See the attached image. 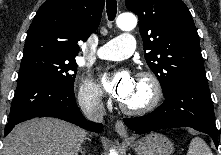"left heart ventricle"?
<instances>
[{
	"mask_svg": "<svg viewBox=\"0 0 221 155\" xmlns=\"http://www.w3.org/2000/svg\"><path fill=\"white\" fill-rule=\"evenodd\" d=\"M149 97V84L143 80L135 79L132 91L122 102L128 106L138 107L145 104L148 101Z\"/></svg>",
	"mask_w": 221,
	"mask_h": 155,
	"instance_id": "obj_1",
	"label": "left heart ventricle"
}]
</instances>
